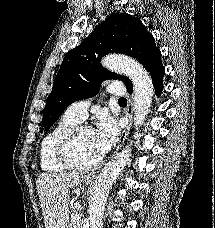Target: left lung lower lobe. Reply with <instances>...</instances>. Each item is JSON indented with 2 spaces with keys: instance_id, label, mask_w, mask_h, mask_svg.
Segmentation results:
<instances>
[{
  "instance_id": "left-lung-lower-lobe-1",
  "label": "left lung lower lobe",
  "mask_w": 215,
  "mask_h": 228,
  "mask_svg": "<svg viewBox=\"0 0 215 228\" xmlns=\"http://www.w3.org/2000/svg\"><path fill=\"white\" fill-rule=\"evenodd\" d=\"M146 70L150 73L156 94L159 95L163 89V75L164 67L161 62V52L160 50L155 54L152 61L146 67ZM129 93H132V85L127 88Z\"/></svg>"
}]
</instances>
